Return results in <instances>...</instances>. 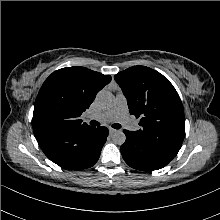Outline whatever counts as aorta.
Wrapping results in <instances>:
<instances>
[{
    "mask_svg": "<svg viewBox=\"0 0 220 220\" xmlns=\"http://www.w3.org/2000/svg\"><path fill=\"white\" fill-rule=\"evenodd\" d=\"M96 102L102 108H109L114 102V97L112 93L108 91H100L96 96ZM112 139L115 144L122 145L126 140V136L123 131L117 130L112 135Z\"/></svg>",
    "mask_w": 220,
    "mask_h": 220,
    "instance_id": "aorta-1",
    "label": "aorta"
}]
</instances>
